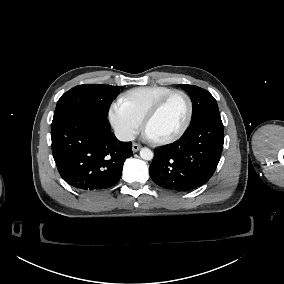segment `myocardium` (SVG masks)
<instances>
[{"instance_id":"f54148a6","label":"myocardium","mask_w":284,"mask_h":284,"mask_svg":"<svg viewBox=\"0 0 284 284\" xmlns=\"http://www.w3.org/2000/svg\"><path fill=\"white\" fill-rule=\"evenodd\" d=\"M176 94H182L188 103V113H187V117L183 123V125L181 126V128L171 137L166 138V139H162V140H157V139H152L150 137L147 136L146 133V129L149 125V123L161 112V110L164 108V106L166 105V103ZM193 113H194V105H193V101L190 97V95L183 91V90H173L172 92L166 94L164 97H162L146 114V116L144 117V119L141 122V128H142V132L144 134V136L151 141L152 143L156 144V145H166V144H170L173 143L175 141H177L188 129V127L190 126V123L192 121L193 118Z\"/></svg>"}]
</instances>
